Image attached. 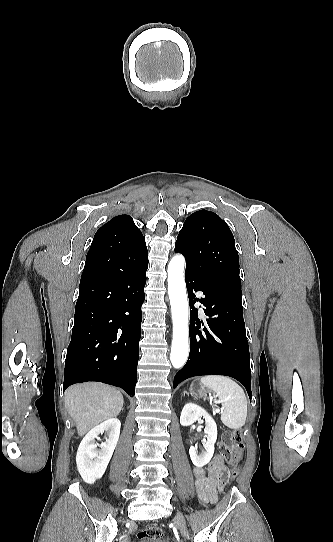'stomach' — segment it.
I'll return each mask as SVG.
<instances>
[{
	"label": "stomach",
	"instance_id": "1",
	"mask_svg": "<svg viewBox=\"0 0 333 542\" xmlns=\"http://www.w3.org/2000/svg\"><path fill=\"white\" fill-rule=\"evenodd\" d=\"M189 392L191 396H193V398H206V396L210 394L209 390H206V388H203L199 380H194V382L190 384Z\"/></svg>",
	"mask_w": 333,
	"mask_h": 542
}]
</instances>
